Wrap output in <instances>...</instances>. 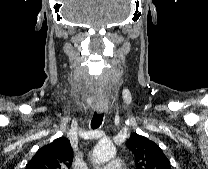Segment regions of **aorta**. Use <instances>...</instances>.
<instances>
[{
	"label": "aorta",
	"instance_id": "aorta-1",
	"mask_svg": "<svg viewBox=\"0 0 208 169\" xmlns=\"http://www.w3.org/2000/svg\"><path fill=\"white\" fill-rule=\"evenodd\" d=\"M116 155V149L110 142H100L93 150V160L97 165L103 164Z\"/></svg>",
	"mask_w": 208,
	"mask_h": 169
}]
</instances>
